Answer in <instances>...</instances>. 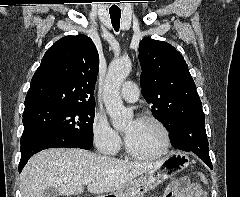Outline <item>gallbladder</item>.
<instances>
[{
  "mask_svg": "<svg viewBox=\"0 0 240 197\" xmlns=\"http://www.w3.org/2000/svg\"><path fill=\"white\" fill-rule=\"evenodd\" d=\"M60 193L54 188H48L44 191L43 197H59Z\"/></svg>",
  "mask_w": 240,
  "mask_h": 197,
  "instance_id": "obj_1",
  "label": "gallbladder"
}]
</instances>
